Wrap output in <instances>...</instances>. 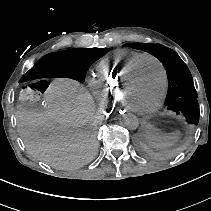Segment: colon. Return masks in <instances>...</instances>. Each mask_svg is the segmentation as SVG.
Returning a JSON list of instances; mask_svg holds the SVG:
<instances>
[{
  "mask_svg": "<svg viewBox=\"0 0 211 211\" xmlns=\"http://www.w3.org/2000/svg\"><path fill=\"white\" fill-rule=\"evenodd\" d=\"M48 87L49 83L44 80L32 82L21 90L20 100L24 103L37 101L47 91Z\"/></svg>",
  "mask_w": 211,
  "mask_h": 211,
  "instance_id": "obj_1",
  "label": "colon"
}]
</instances>
